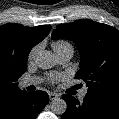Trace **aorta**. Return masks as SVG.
Returning <instances> with one entry per match:
<instances>
[{
  "mask_svg": "<svg viewBox=\"0 0 119 119\" xmlns=\"http://www.w3.org/2000/svg\"><path fill=\"white\" fill-rule=\"evenodd\" d=\"M36 63L41 69H50L55 66L56 58L53 53L49 51H43L36 57ZM67 109V104L62 98H55L51 102V110L55 114H63Z\"/></svg>",
  "mask_w": 119,
  "mask_h": 119,
  "instance_id": "762f6f07",
  "label": "aorta"
}]
</instances>
